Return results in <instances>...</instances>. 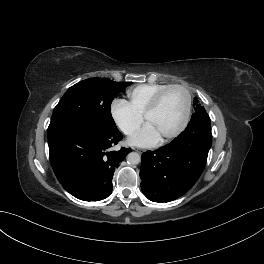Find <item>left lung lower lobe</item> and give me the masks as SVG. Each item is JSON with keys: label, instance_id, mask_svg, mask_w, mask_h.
Listing matches in <instances>:
<instances>
[{"label": "left lung lower lobe", "instance_id": "1", "mask_svg": "<svg viewBox=\"0 0 264 264\" xmlns=\"http://www.w3.org/2000/svg\"><path fill=\"white\" fill-rule=\"evenodd\" d=\"M211 144L210 118L202 106L178 138L142 154V192L154 202H169L185 194L204 170Z\"/></svg>", "mask_w": 264, "mask_h": 264}]
</instances>
